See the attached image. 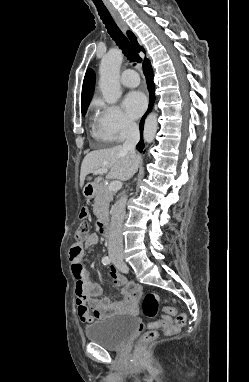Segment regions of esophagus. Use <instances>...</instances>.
Instances as JSON below:
<instances>
[{
  "instance_id": "1",
  "label": "esophagus",
  "mask_w": 249,
  "mask_h": 382,
  "mask_svg": "<svg viewBox=\"0 0 249 382\" xmlns=\"http://www.w3.org/2000/svg\"><path fill=\"white\" fill-rule=\"evenodd\" d=\"M106 5H107L108 10L110 11L112 16L114 17L118 27L121 29V31L123 33H126L128 30V26H127L126 22L121 18L119 13L114 9V7L111 4L107 3Z\"/></svg>"
}]
</instances>
